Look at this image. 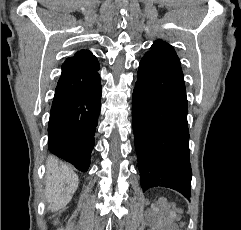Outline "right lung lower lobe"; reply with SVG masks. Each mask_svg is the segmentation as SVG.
I'll list each match as a JSON object with an SVG mask.
<instances>
[{
    "instance_id": "obj_1",
    "label": "right lung lower lobe",
    "mask_w": 241,
    "mask_h": 230,
    "mask_svg": "<svg viewBox=\"0 0 241 230\" xmlns=\"http://www.w3.org/2000/svg\"><path fill=\"white\" fill-rule=\"evenodd\" d=\"M99 67L68 58L62 65L48 125V148L82 172L90 165L101 108Z\"/></svg>"
}]
</instances>
